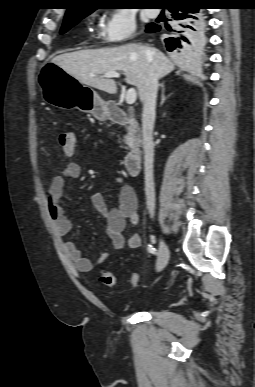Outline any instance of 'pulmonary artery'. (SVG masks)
Segmentation results:
<instances>
[{
	"instance_id": "1",
	"label": "pulmonary artery",
	"mask_w": 255,
	"mask_h": 387,
	"mask_svg": "<svg viewBox=\"0 0 255 387\" xmlns=\"http://www.w3.org/2000/svg\"><path fill=\"white\" fill-rule=\"evenodd\" d=\"M160 13V10L158 9H148L147 10V14L150 16V17H157Z\"/></svg>"
}]
</instances>
